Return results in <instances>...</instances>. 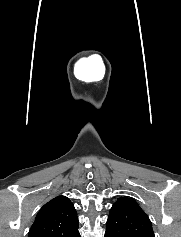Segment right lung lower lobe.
Listing matches in <instances>:
<instances>
[{
	"instance_id": "right-lung-lower-lobe-1",
	"label": "right lung lower lobe",
	"mask_w": 181,
	"mask_h": 237,
	"mask_svg": "<svg viewBox=\"0 0 181 237\" xmlns=\"http://www.w3.org/2000/svg\"><path fill=\"white\" fill-rule=\"evenodd\" d=\"M77 237H80V234L78 233Z\"/></svg>"
}]
</instances>
